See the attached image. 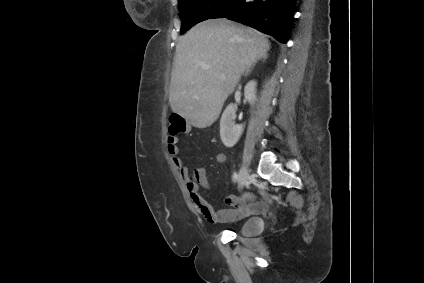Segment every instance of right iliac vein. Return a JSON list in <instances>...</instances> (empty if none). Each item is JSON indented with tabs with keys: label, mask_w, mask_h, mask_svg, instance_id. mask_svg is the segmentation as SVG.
<instances>
[{
	"label": "right iliac vein",
	"mask_w": 424,
	"mask_h": 283,
	"mask_svg": "<svg viewBox=\"0 0 424 283\" xmlns=\"http://www.w3.org/2000/svg\"><path fill=\"white\" fill-rule=\"evenodd\" d=\"M247 175H248L247 168L245 166H242L238 175V182L241 188L244 187L245 184L247 183Z\"/></svg>",
	"instance_id": "right-iliac-vein-1"
}]
</instances>
